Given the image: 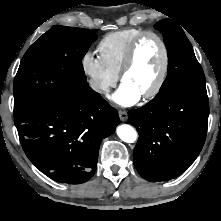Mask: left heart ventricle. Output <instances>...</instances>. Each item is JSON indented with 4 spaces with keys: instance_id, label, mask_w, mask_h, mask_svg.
<instances>
[{
    "instance_id": "1",
    "label": "left heart ventricle",
    "mask_w": 221,
    "mask_h": 221,
    "mask_svg": "<svg viewBox=\"0 0 221 221\" xmlns=\"http://www.w3.org/2000/svg\"><path fill=\"white\" fill-rule=\"evenodd\" d=\"M162 64V50L154 38H145L139 45L134 64L123 83L138 91L141 96L155 84Z\"/></svg>"
}]
</instances>
